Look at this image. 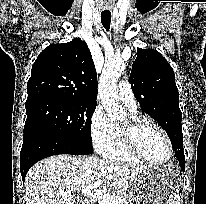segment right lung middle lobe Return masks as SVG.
<instances>
[{"instance_id": "obj_1", "label": "right lung middle lobe", "mask_w": 206, "mask_h": 204, "mask_svg": "<svg viewBox=\"0 0 206 204\" xmlns=\"http://www.w3.org/2000/svg\"><path fill=\"white\" fill-rule=\"evenodd\" d=\"M96 102L57 97H38L26 101L24 137L47 133L66 138L92 150L90 122Z\"/></svg>"}]
</instances>
